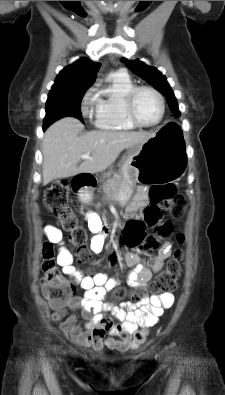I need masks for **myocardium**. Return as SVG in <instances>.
<instances>
[{"label": "myocardium", "mask_w": 225, "mask_h": 395, "mask_svg": "<svg viewBox=\"0 0 225 395\" xmlns=\"http://www.w3.org/2000/svg\"><path fill=\"white\" fill-rule=\"evenodd\" d=\"M142 91H148V92L152 93L158 99V102L160 105V116L155 123H152V124L143 123L138 119V117L135 113V100H136L137 95ZM124 111H125L127 119L135 126L142 127V128H153V127L158 126L164 118L165 101H164L162 94L158 90H156L155 88H153L151 86H147V85L134 86L125 96Z\"/></svg>", "instance_id": "1"}]
</instances>
